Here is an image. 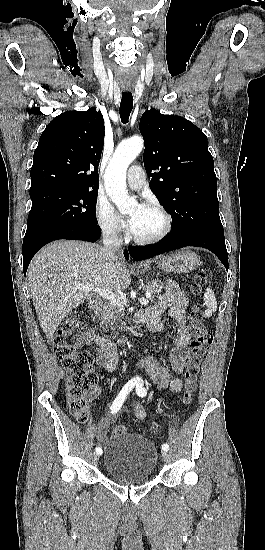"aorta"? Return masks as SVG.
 I'll list each match as a JSON object with an SVG mask.
<instances>
[{"label":"aorta","mask_w":265,"mask_h":550,"mask_svg":"<svg viewBox=\"0 0 265 550\" xmlns=\"http://www.w3.org/2000/svg\"><path fill=\"white\" fill-rule=\"evenodd\" d=\"M144 141L134 136L120 143L105 171V188L108 196L121 213L130 211L136 201L128 195L126 171L132 161L140 154Z\"/></svg>","instance_id":"obj_1"}]
</instances>
